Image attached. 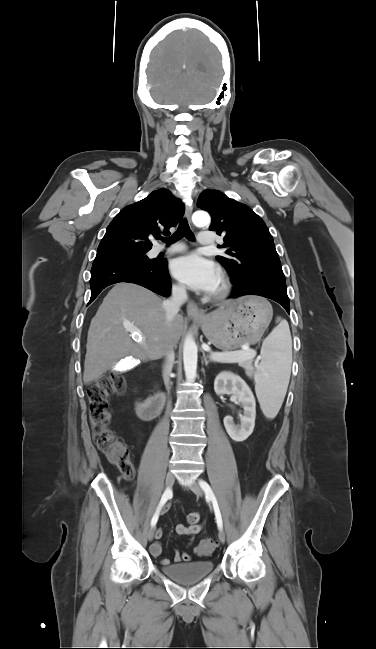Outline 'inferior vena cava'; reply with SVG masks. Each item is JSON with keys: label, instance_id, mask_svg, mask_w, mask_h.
I'll use <instances>...</instances> for the list:
<instances>
[{"label": "inferior vena cava", "instance_id": "obj_1", "mask_svg": "<svg viewBox=\"0 0 376 649\" xmlns=\"http://www.w3.org/2000/svg\"><path fill=\"white\" fill-rule=\"evenodd\" d=\"M186 288L183 285L173 286L171 297L163 302V307L165 309V316L168 322L172 321L173 318L178 314L180 307L187 300ZM174 361V350L172 347L165 354L163 378L168 386V376L170 374V369Z\"/></svg>", "mask_w": 376, "mask_h": 649}]
</instances>
